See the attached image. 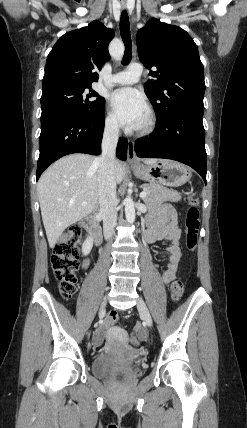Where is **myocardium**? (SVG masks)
<instances>
[{"label":"myocardium","mask_w":247,"mask_h":428,"mask_svg":"<svg viewBox=\"0 0 247 428\" xmlns=\"http://www.w3.org/2000/svg\"><path fill=\"white\" fill-rule=\"evenodd\" d=\"M155 127H156V117L150 111L148 113L145 125L139 128L136 133L140 137L148 136L155 130Z\"/></svg>","instance_id":"1"}]
</instances>
